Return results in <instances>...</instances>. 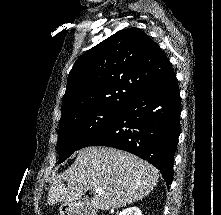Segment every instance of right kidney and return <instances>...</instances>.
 Listing matches in <instances>:
<instances>
[{"label":"right kidney","mask_w":221,"mask_h":215,"mask_svg":"<svg viewBox=\"0 0 221 215\" xmlns=\"http://www.w3.org/2000/svg\"><path fill=\"white\" fill-rule=\"evenodd\" d=\"M119 215H142V212L139 208L130 207L123 210Z\"/></svg>","instance_id":"right-kidney-1"}]
</instances>
